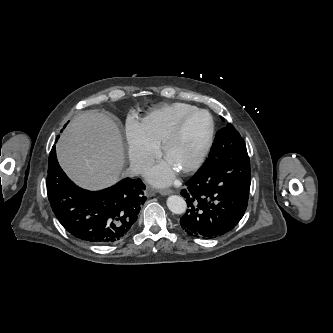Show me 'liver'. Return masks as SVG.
I'll return each instance as SVG.
<instances>
[{
  "label": "liver",
  "instance_id": "1",
  "mask_svg": "<svg viewBox=\"0 0 333 333\" xmlns=\"http://www.w3.org/2000/svg\"><path fill=\"white\" fill-rule=\"evenodd\" d=\"M56 150L68 177L92 190L115 183L124 163L118 127L110 117L99 112L77 115L62 133Z\"/></svg>",
  "mask_w": 333,
  "mask_h": 333
}]
</instances>
